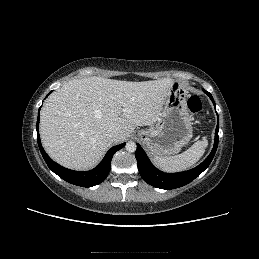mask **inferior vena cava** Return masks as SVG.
Here are the masks:
<instances>
[{
  "instance_id": "obj_1",
  "label": "inferior vena cava",
  "mask_w": 259,
  "mask_h": 259,
  "mask_svg": "<svg viewBox=\"0 0 259 259\" xmlns=\"http://www.w3.org/2000/svg\"><path fill=\"white\" fill-rule=\"evenodd\" d=\"M120 136V133L117 129H114V128H110L108 131H107V134H106V137L109 141L111 142H115L118 140Z\"/></svg>"
}]
</instances>
